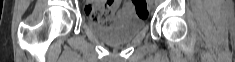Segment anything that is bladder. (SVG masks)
Instances as JSON below:
<instances>
[{"label":"bladder","mask_w":235,"mask_h":62,"mask_svg":"<svg viewBox=\"0 0 235 62\" xmlns=\"http://www.w3.org/2000/svg\"><path fill=\"white\" fill-rule=\"evenodd\" d=\"M88 27L99 39L119 44L136 37L145 27V20L134 12L122 11L115 14L108 25L101 22H88Z\"/></svg>","instance_id":"bladder-1"}]
</instances>
